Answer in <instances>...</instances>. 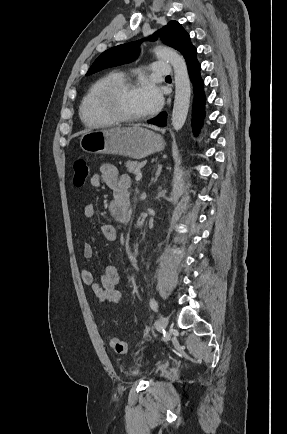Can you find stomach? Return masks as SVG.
I'll use <instances>...</instances> for the list:
<instances>
[{
  "label": "stomach",
  "mask_w": 287,
  "mask_h": 434,
  "mask_svg": "<svg viewBox=\"0 0 287 434\" xmlns=\"http://www.w3.org/2000/svg\"><path fill=\"white\" fill-rule=\"evenodd\" d=\"M80 148L93 154H113L141 159L165 147L161 135L148 129L111 128L84 133L79 139Z\"/></svg>",
  "instance_id": "0dacf381"
}]
</instances>
